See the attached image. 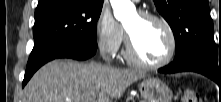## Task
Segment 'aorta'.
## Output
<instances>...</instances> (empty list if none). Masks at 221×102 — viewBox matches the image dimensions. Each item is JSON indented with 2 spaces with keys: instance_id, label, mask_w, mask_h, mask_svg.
<instances>
[{
  "instance_id": "aorta-1",
  "label": "aorta",
  "mask_w": 221,
  "mask_h": 102,
  "mask_svg": "<svg viewBox=\"0 0 221 102\" xmlns=\"http://www.w3.org/2000/svg\"><path fill=\"white\" fill-rule=\"evenodd\" d=\"M114 17L121 22L132 17L136 13V8L131 0H110Z\"/></svg>"
}]
</instances>
